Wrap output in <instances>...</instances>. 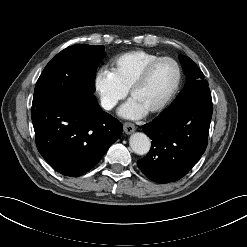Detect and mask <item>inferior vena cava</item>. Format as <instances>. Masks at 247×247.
I'll return each mask as SVG.
<instances>
[{"label":"inferior vena cava","mask_w":247,"mask_h":247,"mask_svg":"<svg viewBox=\"0 0 247 247\" xmlns=\"http://www.w3.org/2000/svg\"><path fill=\"white\" fill-rule=\"evenodd\" d=\"M115 106V102L113 101H102V107L106 110H110Z\"/></svg>","instance_id":"inferior-vena-cava-1"}]
</instances>
